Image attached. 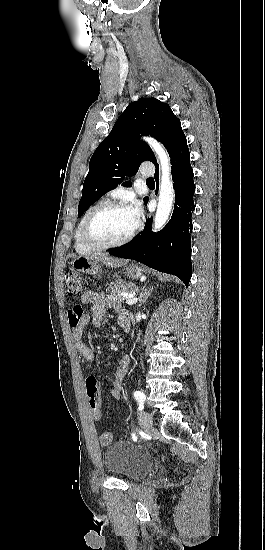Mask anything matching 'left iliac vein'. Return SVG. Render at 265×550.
Returning <instances> with one entry per match:
<instances>
[{
    "label": "left iliac vein",
    "mask_w": 265,
    "mask_h": 550,
    "mask_svg": "<svg viewBox=\"0 0 265 550\" xmlns=\"http://www.w3.org/2000/svg\"><path fill=\"white\" fill-rule=\"evenodd\" d=\"M139 420L140 423L144 426V428L149 429L152 426L153 423V417L152 415L147 411H141L139 414Z\"/></svg>",
    "instance_id": "1"
}]
</instances>
